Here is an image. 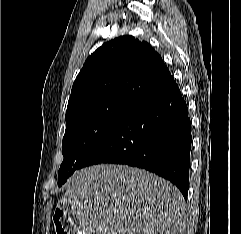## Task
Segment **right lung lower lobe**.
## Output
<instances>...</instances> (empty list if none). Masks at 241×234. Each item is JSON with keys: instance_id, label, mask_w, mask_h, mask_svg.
Instances as JSON below:
<instances>
[{"instance_id": "obj_1", "label": "right lung lower lobe", "mask_w": 241, "mask_h": 234, "mask_svg": "<svg viewBox=\"0 0 241 234\" xmlns=\"http://www.w3.org/2000/svg\"><path fill=\"white\" fill-rule=\"evenodd\" d=\"M191 141L188 108L171 75L134 104L80 168L100 163L143 168L170 180L187 199Z\"/></svg>"}]
</instances>
